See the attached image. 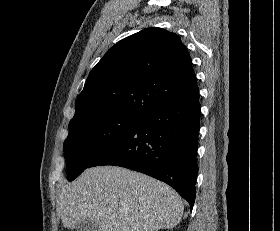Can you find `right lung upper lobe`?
Instances as JSON below:
<instances>
[{
	"mask_svg": "<svg viewBox=\"0 0 280 231\" xmlns=\"http://www.w3.org/2000/svg\"><path fill=\"white\" fill-rule=\"evenodd\" d=\"M199 94L187 48L178 35L152 27L110 48L91 70L72 118L140 117Z\"/></svg>",
	"mask_w": 280,
	"mask_h": 231,
	"instance_id": "right-lung-upper-lobe-1",
	"label": "right lung upper lobe"
}]
</instances>
